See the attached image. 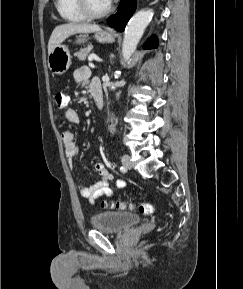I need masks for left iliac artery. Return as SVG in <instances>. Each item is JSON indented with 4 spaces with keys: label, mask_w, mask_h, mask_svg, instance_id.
Instances as JSON below:
<instances>
[{
    "label": "left iliac artery",
    "mask_w": 243,
    "mask_h": 289,
    "mask_svg": "<svg viewBox=\"0 0 243 289\" xmlns=\"http://www.w3.org/2000/svg\"><path fill=\"white\" fill-rule=\"evenodd\" d=\"M126 169L124 167H120V171H125Z\"/></svg>",
    "instance_id": "1"
}]
</instances>
